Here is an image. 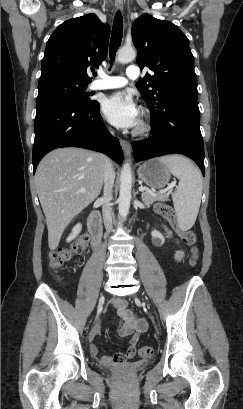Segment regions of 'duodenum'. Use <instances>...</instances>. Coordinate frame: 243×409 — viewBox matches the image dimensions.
Masks as SVG:
<instances>
[{
  "label": "duodenum",
  "mask_w": 243,
  "mask_h": 409,
  "mask_svg": "<svg viewBox=\"0 0 243 409\" xmlns=\"http://www.w3.org/2000/svg\"><path fill=\"white\" fill-rule=\"evenodd\" d=\"M88 227L91 237V244L93 248H96L99 244L102 234V219L98 212H93L88 218Z\"/></svg>",
  "instance_id": "obj_1"
}]
</instances>
